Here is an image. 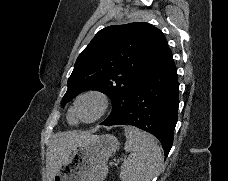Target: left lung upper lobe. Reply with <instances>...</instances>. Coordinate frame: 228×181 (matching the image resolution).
<instances>
[{
  "label": "left lung upper lobe",
  "instance_id": "5c2ea615",
  "mask_svg": "<svg viewBox=\"0 0 228 181\" xmlns=\"http://www.w3.org/2000/svg\"><path fill=\"white\" fill-rule=\"evenodd\" d=\"M167 48L163 33L145 22L100 30L77 58L62 106L85 90L101 91L113 106L101 125L118 122L125 115L139 77Z\"/></svg>",
  "mask_w": 228,
  "mask_h": 181
}]
</instances>
